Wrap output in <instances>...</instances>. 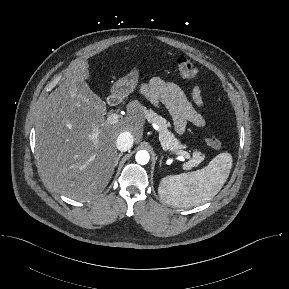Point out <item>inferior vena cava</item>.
Instances as JSON below:
<instances>
[{
    "mask_svg": "<svg viewBox=\"0 0 289 289\" xmlns=\"http://www.w3.org/2000/svg\"><path fill=\"white\" fill-rule=\"evenodd\" d=\"M134 139L130 132H122L118 135L116 147L119 151L125 152L133 145Z\"/></svg>",
    "mask_w": 289,
    "mask_h": 289,
    "instance_id": "602c4592",
    "label": "inferior vena cava"
}]
</instances>
